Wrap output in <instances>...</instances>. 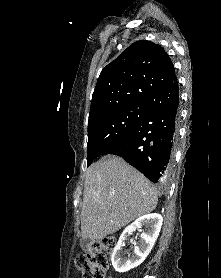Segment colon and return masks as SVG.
Instances as JSON below:
<instances>
[{
    "label": "colon",
    "instance_id": "5ec220e1",
    "mask_svg": "<svg viewBox=\"0 0 221 278\" xmlns=\"http://www.w3.org/2000/svg\"><path fill=\"white\" fill-rule=\"evenodd\" d=\"M116 240L108 237L94 242L86 254L75 257L76 268L83 278H105L109 267L108 254L115 248Z\"/></svg>",
    "mask_w": 221,
    "mask_h": 278
}]
</instances>
